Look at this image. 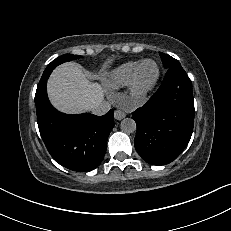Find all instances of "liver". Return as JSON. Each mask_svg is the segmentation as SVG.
<instances>
[{"mask_svg": "<svg viewBox=\"0 0 231 231\" xmlns=\"http://www.w3.org/2000/svg\"><path fill=\"white\" fill-rule=\"evenodd\" d=\"M52 105L64 113H81L103 101L101 85L90 82L76 63L58 66L47 85Z\"/></svg>", "mask_w": 231, "mask_h": 231, "instance_id": "obj_1", "label": "liver"}]
</instances>
